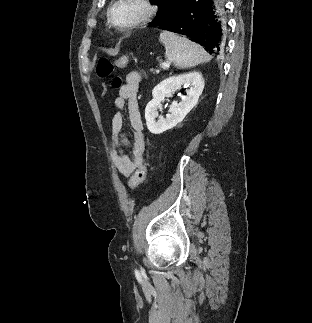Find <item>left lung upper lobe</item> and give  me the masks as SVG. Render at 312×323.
<instances>
[{"instance_id": "obj_1", "label": "left lung upper lobe", "mask_w": 312, "mask_h": 323, "mask_svg": "<svg viewBox=\"0 0 312 323\" xmlns=\"http://www.w3.org/2000/svg\"><path fill=\"white\" fill-rule=\"evenodd\" d=\"M152 4L158 5V13L155 19L151 22L153 26L161 25L172 12V6L177 0H150Z\"/></svg>"}]
</instances>
